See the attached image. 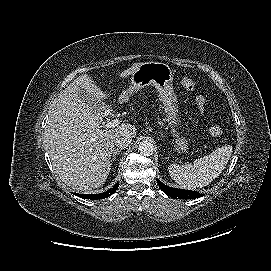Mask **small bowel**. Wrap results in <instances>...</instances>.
I'll use <instances>...</instances> for the list:
<instances>
[{
    "label": "small bowel",
    "instance_id": "small-bowel-1",
    "mask_svg": "<svg viewBox=\"0 0 271 271\" xmlns=\"http://www.w3.org/2000/svg\"><path fill=\"white\" fill-rule=\"evenodd\" d=\"M195 104H196L197 108L202 109V107L204 105V98L202 96L197 97L195 100Z\"/></svg>",
    "mask_w": 271,
    "mask_h": 271
}]
</instances>
